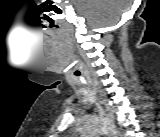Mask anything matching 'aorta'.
I'll use <instances>...</instances> for the list:
<instances>
[{
  "mask_svg": "<svg viewBox=\"0 0 160 137\" xmlns=\"http://www.w3.org/2000/svg\"><path fill=\"white\" fill-rule=\"evenodd\" d=\"M97 133L108 134L113 137H119L120 132L116 129V127L111 123L102 122L99 123L96 129Z\"/></svg>",
  "mask_w": 160,
  "mask_h": 137,
  "instance_id": "762f6f07",
  "label": "aorta"
}]
</instances>
